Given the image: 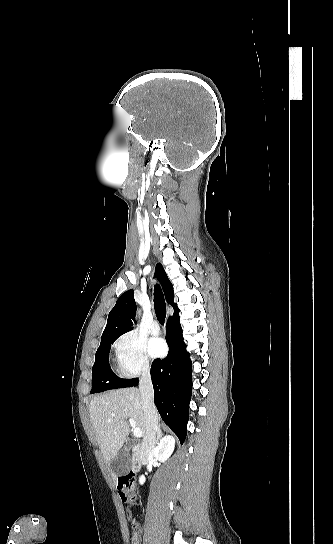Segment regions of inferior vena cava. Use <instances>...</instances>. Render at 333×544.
Listing matches in <instances>:
<instances>
[{
    "mask_svg": "<svg viewBox=\"0 0 333 544\" xmlns=\"http://www.w3.org/2000/svg\"><path fill=\"white\" fill-rule=\"evenodd\" d=\"M139 390L142 398L144 411V420L146 433L141 445L143 463L153 455L158 430V413L154 404V390L149 370H144L140 382Z\"/></svg>",
    "mask_w": 333,
    "mask_h": 544,
    "instance_id": "602c4592",
    "label": "inferior vena cava"
}]
</instances>
